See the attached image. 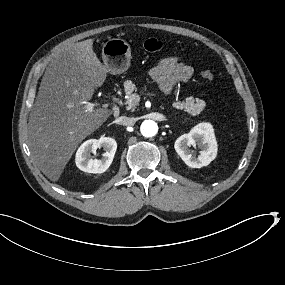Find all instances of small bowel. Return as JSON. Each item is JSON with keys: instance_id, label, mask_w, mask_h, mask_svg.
<instances>
[{"instance_id": "c3829d8e", "label": "small bowel", "mask_w": 285, "mask_h": 285, "mask_svg": "<svg viewBox=\"0 0 285 285\" xmlns=\"http://www.w3.org/2000/svg\"><path fill=\"white\" fill-rule=\"evenodd\" d=\"M193 76V68L183 63L176 56H167L150 70V77L160 83L164 92H171L180 83H185Z\"/></svg>"}]
</instances>
